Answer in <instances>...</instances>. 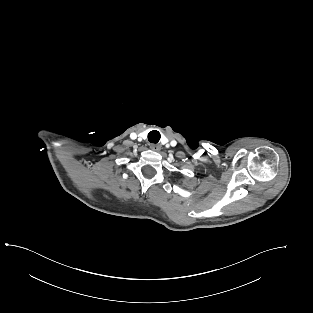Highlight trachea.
Here are the masks:
<instances>
[{
	"instance_id": "obj_1",
	"label": "trachea",
	"mask_w": 313,
	"mask_h": 313,
	"mask_svg": "<svg viewBox=\"0 0 313 313\" xmlns=\"http://www.w3.org/2000/svg\"><path fill=\"white\" fill-rule=\"evenodd\" d=\"M160 137H161V135H160L159 131H157V130H152L148 134L149 142L154 143V144L159 142Z\"/></svg>"
}]
</instances>
